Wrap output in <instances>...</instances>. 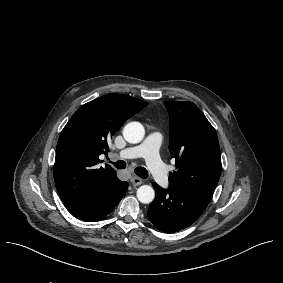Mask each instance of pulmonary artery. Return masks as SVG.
I'll use <instances>...</instances> for the list:
<instances>
[{
	"mask_svg": "<svg viewBox=\"0 0 283 283\" xmlns=\"http://www.w3.org/2000/svg\"><path fill=\"white\" fill-rule=\"evenodd\" d=\"M161 136L159 133L153 132L146 136L142 143L125 147L122 155L125 158L133 156H143L145 163L151 172L154 182L160 186L167 184L169 177L165 172V168L161 162V158L157 155L161 144Z\"/></svg>",
	"mask_w": 283,
	"mask_h": 283,
	"instance_id": "pulmonary-artery-1",
	"label": "pulmonary artery"
}]
</instances>
